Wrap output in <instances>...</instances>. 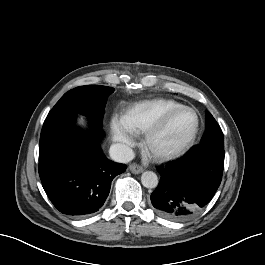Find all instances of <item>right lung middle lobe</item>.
I'll use <instances>...</instances> for the list:
<instances>
[{
    "mask_svg": "<svg viewBox=\"0 0 265 265\" xmlns=\"http://www.w3.org/2000/svg\"><path fill=\"white\" fill-rule=\"evenodd\" d=\"M114 88L101 85L80 86L65 93L48 115L79 113L88 118L90 125L101 128L106 100Z\"/></svg>",
    "mask_w": 265,
    "mask_h": 265,
    "instance_id": "obj_1",
    "label": "right lung middle lobe"
}]
</instances>
